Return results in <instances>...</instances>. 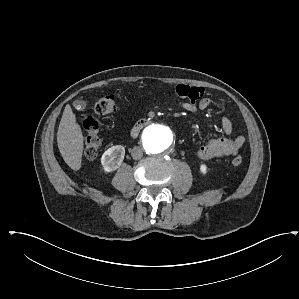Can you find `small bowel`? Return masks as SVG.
Here are the masks:
<instances>
[{
  "mask_svg": "<svg viewBox=\"0 0 299 299\" xmlns=\"http://www.w3.org/2000/svg\"><path fill=\"white\" fill-rule=\"evenodd\" d=\"M176 94L180 99L182 109L189 112L206 110L212 103L203 90L191 88L188 85L180 84L176 87ZM221 128L225 137L209 139L198 150V157L203 160L222 158L235 155L245 143L244 136L230 138L233 132V123L227 116L221 118Z\"/></svg>",
  "mask_w": 299,
  "mask_h": 299,
  "instance_id": "obj_1",
  "label": "small bowel"
}]
</instances>
